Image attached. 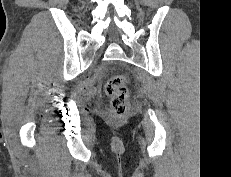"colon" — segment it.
<instances>
[{
	"label": "colon",
	"instance_id": "5ec220e1",
	"mask_svg": "<svg viewBox=\"0 0 231 177\" xmlns=\"http://www.w3.org/2000/svg\"><path fill=\"white\" fill-rule=\"evenodd\" d=\"M128 82V76L116 75L111 77L105 85V91L110 97L111 109L116 116H122L127 111L129 103Z\"/></svg>",
	"mask_w": 231,
	"mask_h": 177
}]
</instances>
